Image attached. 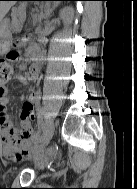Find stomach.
Listing matches in <instances>:
<instances>
[{
  "label": "stomach",
  "mask_w": 137,
  "mask_h": 189,
  "mask_svg": "<svg viewBox=\"0 0 137 189\" xmlns=\"http://www.w3.org/2000/svg\"><path fill=\"white\" fill-rule=\"evenodd\" d=\"M10 26L7 20L0 22V50L1 52L6 50V46L9 43Z\"/></svg>",
  "instance_id": "obj_1"
}]
</instances>
